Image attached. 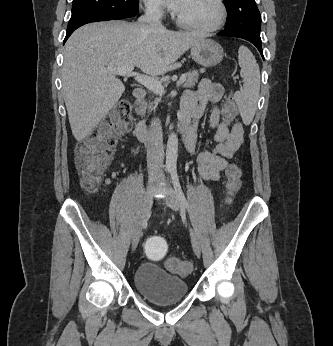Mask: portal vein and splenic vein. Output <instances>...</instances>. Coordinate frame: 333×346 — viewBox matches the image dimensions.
<instances>
[{
	"instance_id": "obj_1",
	"label": "portal vein and splenic vein",
	"mask_w": 333,
	"mask_h": 346,
	"mask_svg": "<svg viewBox=\"0 0 333 346\" xmlns=\"http://www.w3.org/2000/svg\"><path fill=\"white\" fill-rule=\"evenodd\" d=\"M134 67L133 66H125V67H118L113 69H108V72L114 74V75H120L124 77H130L133 76L134 79L140 83L141 85L145 86L150 91L154 92L155 94L162 95L164 94V87L161 82L156 81L155 79L148 77L146 75H141L138 73L133 72ZM186 80V75L183 74L179 78L177 85H181Z\"/></svg>"
}]
</instances>
